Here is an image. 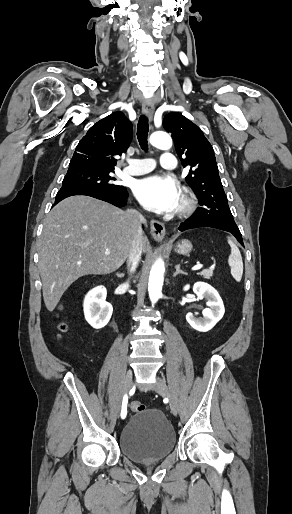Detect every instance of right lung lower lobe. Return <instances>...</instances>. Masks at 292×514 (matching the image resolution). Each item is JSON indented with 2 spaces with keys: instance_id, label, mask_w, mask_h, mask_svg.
I'll return each instance as SVG.
<instances>
[{
  "instance_id": "98d812e1",
  "label": "right lung lower lobe",
  "mask_w": 292,
  "mask_h": 514,
  "mask_svg": "<svg viewBox=\"0 0 292 514\" xmlns=\"http://www.w3.org/2000/svg\"><path fill=\"white\" fill-rule=\"evenodd\" d=\"M74 195L91 196L93 198L111 203L117 207L125 206L127 204L128 198V192L126 188L118 189L115 191H107L88 187H64L61 188L57 193L53 206L61 200Z\"/></svg>"
}]
</instances>
